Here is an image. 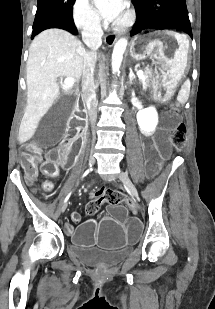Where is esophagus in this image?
Here are the masks:
<instances>
[{"label": "esophagus", "instance_id": "1", "mask_svg": "<svg viewBox=\"0 0 215 309\" xmlns=\"http://www.w3.org/2000/svg\"><path fill=\"white\" fill-rule=\"evenodd\" d=\"M117 40V36L116 35H113V34H107L105 37H104V41L106 43V45H108L109 47H111L112 45H114V43L116 42Z\"/></svg>", "mask_w": 215, "mask_h": 309}]
</instances>
